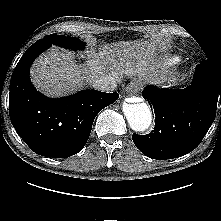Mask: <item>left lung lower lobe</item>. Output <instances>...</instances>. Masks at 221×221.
Instances as JSON below:
<instances>
[{
  "mask_svg": "<svg viewBox=\"0 0 221 221\" xmlns=\"http://www.w3.org/2000/svg\"><path fill=\"white\" fill-rule=\"evenodd\" d=\"M142 96L154 108L155 128L147 135L133 134L136 147L158 160L184 156L200 144L215 119L217 102L221 103V69L200 63L185 89L149 85Z\"/></svg>",
  "mask_w": 221,
  "mask_h": 221,
  "instance_id": "obj_1",
  "label": "left lung lower lobe"
}]
</instances>
